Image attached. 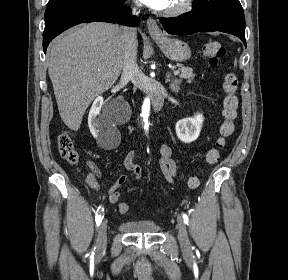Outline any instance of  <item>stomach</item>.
Segmentation results:
<instances>
[{
  "label": "stomach",
  "mask_w": 288,
  "mask_h": 280,
  "mask_svg": "<svg viewBox=\"0 0 288 280\" xmlns=\"http://www.w3.org/2000/svg\"><path fill=\"white\" fill-rule=\"evenodd\" d=\"M164 55L172 61L183 62L191 57V49L187 43L176 38L153 37Z\"/></svg>",
  "instance_id": "obj_1"
}]
</instances>
